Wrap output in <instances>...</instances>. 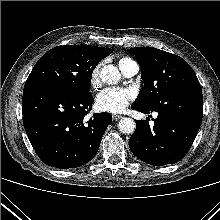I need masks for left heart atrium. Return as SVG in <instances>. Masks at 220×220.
Listing matches in <instances>:
<instances>
[{
    "mask_svg": "<svg viewBox=\"0 0 220 220\" xmlns=\"http://www.w3.org/2000/svg\"><path fill=\"white\" fill-rule=\"evenodd\" d=\"M134 98L135 93L132 89L109 87L97 95L96 107L103 112L120 113Z\"/></svg>",
    "mask_w": 220,
    "mask_h": 220,
    "instance_id": "left-heart-atrium-1",
    "label": "left heart atrium"
}]
</instances>
